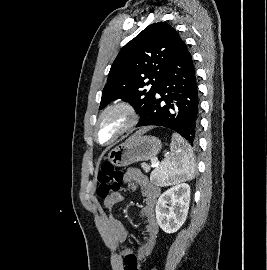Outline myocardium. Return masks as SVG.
Instances as JSON below:
<instances>
[{
  "mask_svg": "<svg viewBox=\"0 0 267 270\" xmlns=\"http://www.w3.org/2000/svg\"><path fill=\"white\" fill-rule=\"evenodd\" d=\"M116 110H121L127 115V118H128L127 123L122 128V130L117 135H115L110 141L103 143L99 140V137H98L99 124H100L101 120L108 113L116 111ZM138 119H139V116H138L137 110L135 109V107L131 103L126 102V101H119V102L112 103V104L106 106L100 112V114L96 120V123L94 125V132H93L94 138L101 145H104V146L111 145V144L115 143L116 141H118L125 134L130 132L136 126Z\"/></svg>",
  "mask_w": 267,
  "mask_h": 270,
  "instance_id": "obj_1",
  "label": "myocardium"
}]
</instances>
